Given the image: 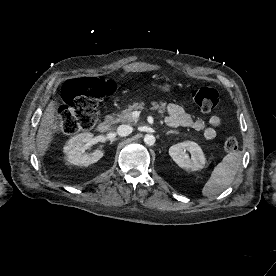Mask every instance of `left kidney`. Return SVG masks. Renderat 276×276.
I'll return each instance as SVG.
<instances>
[{"label": "left kidney", "mask_w": 276, "mask_h": 276, "mask_svg": "<svg viewBox=\"0 0 276 276\" xmlns=\"http://www.w3.org/2000/svg\"><path fill=\"white\" fill-rule=\"evenodd\" d=\"M191 154V157L187 153ZM169 155L179 167L197 171L205 166V156L200 146L192 141H184L169 148Z\"/></svg>", "instance_id": "5707ae66"}]
</instances>
